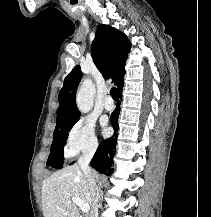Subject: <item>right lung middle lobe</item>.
I'll use <instances>...</instances> for the list:
<instances>
[{"mask_svg": "<svg viewBox=\"0 0 211 217\" xmlns=\"http://www.w3.org/2000/svg\"><path fill=\"white\" fill-rule=\"evenodd\" d=\"M78 121L74 120L68 122L60 127H57L54 131L53 142L51 145L50 155L48 157L47 165H50L55 168H61L63 164V148L65 141L68 137V132L72 126Z\"/></svg>", "mask_w": 211, "mask_h": 217, "instance_id": "obj_1", "label": "right lung middle lobe"}]
</instances>
